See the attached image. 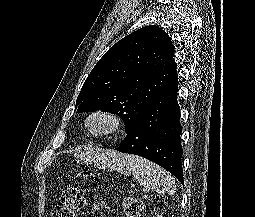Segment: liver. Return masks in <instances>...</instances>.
I'll return each instance as SVG.
<instances>
[{
	"label": "liver",
	"instance_id": "liver-1",
	"mask_svg": "<svg viewBox=\"0 0 255 217\" xmlns=\"http://www.w3.org/2000/svg\"><path fill=\"white\" fill-rule=\"evenodd\" d=\"M78 158L80 159H87V158H102L107 159L110 157L115 156L118 153H115L114 151H107L103 152L101 149H95L94 148H79L78 149Z\"/></svg>",
	"mask_w": 255,
	"mask_h": 217
}]
</instances>
